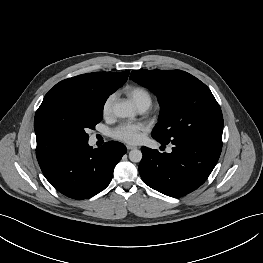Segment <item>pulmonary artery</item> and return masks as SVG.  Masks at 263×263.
Instances as JSON below:
<instances>
[{
  "label": "pulmonary artery",
  "mask_w": 263,
  "mask_h": 263,
  "mask_svg": "<svg viewBox=\"0 0 263 263\" xmlns=\"http://www.w3.org/2000/svg\"><path fill=\"white\" fill-rule=\"evenodd\" d=\"M147 109L146 108H141L139 109V111L142 113V112H145Z\"/></svg>",
  "instance_id": "e3ab8cb5"
}]
</instances>
